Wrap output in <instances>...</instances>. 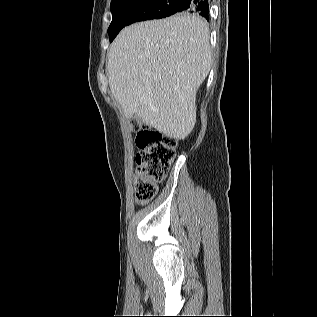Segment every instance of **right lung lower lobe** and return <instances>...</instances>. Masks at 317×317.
Returning <instances> with one entry per match:
<instances>
[{"mask_svg":"<svg viewBox=\"0 0 317 317\" xmlns=\"http://www.w3.org/2000/svg\"><path fill=\"white\" fill-rule=\"evenodd\" d=\"M175 4L179 8L177 13H195L209 20V5L207 0H176Z\"/></svg>","mask_w":317,"mask_h":317,"instance_id":"obj_1","label":"right lung lower lobe"}]
</instances>
